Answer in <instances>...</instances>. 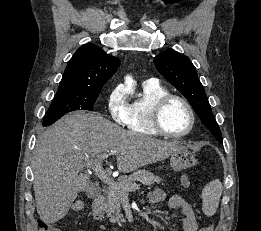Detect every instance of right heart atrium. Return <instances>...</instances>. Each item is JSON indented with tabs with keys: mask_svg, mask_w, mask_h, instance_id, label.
Segmentation results:
<instances>
[{
	"mask_svg": "<svg viewBox=\"0 0 261 231\" xmlns=\"http://www.w3.org/2000/svg\"><path fill=\"white\" fill-rule=\"evenodd\" d=\"M106 105L111 119L119 125H124L127 119L128 102L123 86H117L109 93Z\"/></svg>",
	"mask_w": 261,
	"mask_h": 231,
	"instance_id": "right-heart-atrium-1",
	"label": "right heart atrium"
}]
</instances>
